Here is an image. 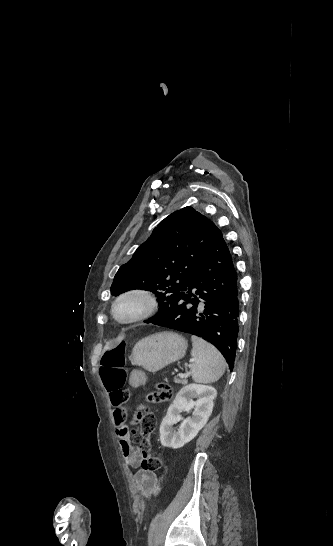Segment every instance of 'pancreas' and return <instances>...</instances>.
Listing matches in <instances>:
<instances>
[{"label": "pancreas", "mask_w": 333, "mask_h": 546, "mask_svg": "<svg viewBox=\"0 0 333 546\" xmlns=\"http://www.w3.org/2000/svg\"><path fill=\"white\" fill-rule=\"evenodd\" d=\"M174 381L176 383H181V384H186L187 383L186 378L185 379H179L177 376L174 378Z\"/></svg>", "instance_id": "1"}]
</instances>
